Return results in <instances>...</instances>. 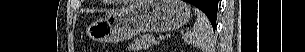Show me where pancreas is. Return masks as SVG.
<instances>
[{"label": "pancreas", "mask_w": 305, "mask_h": 52, "mask_svg": "<svg viewBox=\"0 0 305 52\" xmlns=\"http://www.w3.org/2000/svg\"><path fill=\"white\" fill-rule=\"evenodd\" d=\"M158 41L155 40L154 35H150V34H144L138 38H136L134 40V42L132 44L129 45L128 49L130 51H138V50H144V49H148L149 47H151L154 44H157Z\"/></svg>", "instance_id": "pancreas-1"}]
</instances>
